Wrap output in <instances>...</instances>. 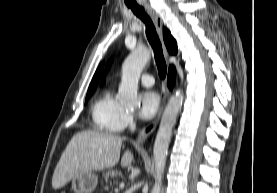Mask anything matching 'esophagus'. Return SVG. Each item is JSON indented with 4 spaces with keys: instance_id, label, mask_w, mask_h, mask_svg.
Segmentation results:
<instances>
[{
    "instance_id": "obj_1",
    "label": "esophagus",
    "mask_w": 277,
    "mask_h": 193,
    "mask_svg": "<svg viewBox=\"0 0 277 193\" xmlns=\"http://www.w3.org/2000/svg\"><path fill=\"white\" fill-rule=\"evenodd\" d=\"M146 10L149 13V15L151 16L152 20L154 21L157 33L160 37V39L162 40V29H163V23H162V19L160 18V16H158V14L148 5L145 4ZM163 49H164V53L166 58H168V52L165 48V46L163 45ZM169 97V91L165 90L164 91V95L162 98V102L159 108V111L157 113V116L155 118V120L149 124L148 126H146L138 135L136 142L138 144H142L143 142H145V140L150 136V134L153 133V131L155 130V128L157 127L159 120L161 118L162 112L164 110L165 104L167 102V99Z\"/></svg>"
}]
</instances>
